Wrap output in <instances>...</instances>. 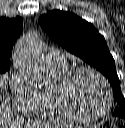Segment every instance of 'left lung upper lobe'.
<instances>
[{
  "label": "left lung upper lobe",
  "instance_id": "obj_1",
  "mask_svg": "<svg viewBox=\"0 0 125 128\" xmlns=\"http://www.w3.org/2000/svg\"><path fill=\"white\" fill-rule=\"evenodd\" d=\"M41 27L60 46L83 59L102 72L114 89V97L119 104L114 115L125 119V98L120 89L115 61L109 52L106 41L95 27L77 15L53 10L39 18Z\"/></svg>",
  "mask_w": 125,
  "mask_h": 128
}]
</instances>
